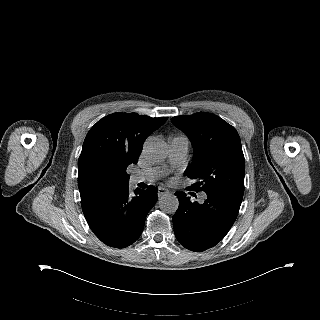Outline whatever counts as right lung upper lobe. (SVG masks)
<instances>
[{"instance_id": "cb5924a9", "label": "right lung upper lobe", "mask_w": 320, "mask_h": 320, "mask_svg": "<svg viewBox=\"0 0 320 320\" xmlns=\"http://www.w3.org/2000/svg\"><path fill=\"white\" fill-rule=\"evenodd\" d=\"M166 119L120 112L96 123L86 136L78 161L80 195L128 184V165L137 163L145 139Z\"/></svg>"}]
</instances>
